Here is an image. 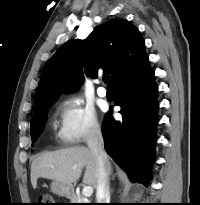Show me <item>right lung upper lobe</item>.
Instances as JSON below:
<instances>
[{"label": "right lung upper lobe", "mask_w": 200, "mask_h": 205, "mask_svg": "<svg viewBox=\"0 0 200 205\" xmlns=\"http://www.w3.org/2000/svg\"><path fill=\"white\" fill-rule=\"evenodd\" d=\"M147 60L144 40L129 21L114 19L99 25L85 40L63 45L46 63L35 96L34 115L43 102L78 88L83 75L81 63L93 78L101 72L110 73L115 85Z\"/></svg>", "instance_id": "obj_1"}]
</instances>
